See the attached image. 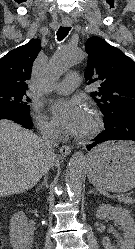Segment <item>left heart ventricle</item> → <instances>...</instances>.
Instances as JSON below:
<instances>
[{
	"label": "left heart ventricle",
	"instance_id": "left-heart-ventricle-1",
	"mask_svg": "<svg viewBox=\"0 0 135 249\" xmlns=\"http://www.w3.org/2000/svg\"><path fill=\"white\" fill-rule=\"evenodd\" d=\"M90 125H91V116H90V114H88V120H87V123H86V126H85L83 132L81 133L82 135L88 131Z\"/></svg>",
	"mask_w": 135,
	"mask_h": 249
}]
</instances>
